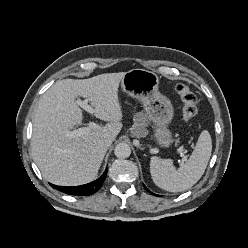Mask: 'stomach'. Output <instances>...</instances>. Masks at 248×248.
Returning a JSON list of instances; mask_svg holds the SVG:
<instances>
[{
    "label": "stomach",
    "mask_w": 248,
    "mask_h": 248,
    "mask_svg": "<svg viewBox=\"0 0 248 248\" xmlns=\"http://www.w3.org/2000/svg\"><path fill=\"white\" fill-rule=\"evenodd\" d=\"M121 87L125 93L142 102L146 118L154 124L156 143L164 148L170 147L174 140L168 126L174 109L169 98L159 92L158 76L145 69H132L125 73Z\"/></svg>",
    "instance_id": "obj_1"
}]
</instances>
